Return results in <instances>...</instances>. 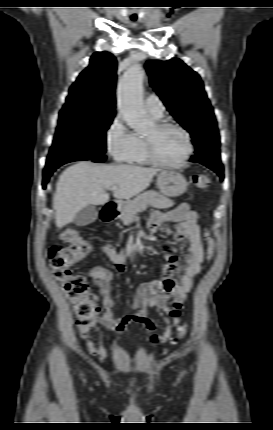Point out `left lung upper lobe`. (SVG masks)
Returning a JSON list of instances; mask_svg holds the SVG:
<instances>
[{"label": "left lung upper lobe", "instance_id": "1", "mask_svg": "<svg viewBox=\"0 0 273 430\" xmlns=\"http://www.w3.org/2000/svg\"><path fill=\"white\" fill-rule=\"evenodd\" d=\"M145 68L169 112L191 134L196 153L219 148L217 122L200 76L179 59L150 60Z\"/></svg>", "mask_w": 273, "mask_h": 430}]
</instances>
